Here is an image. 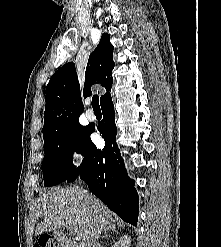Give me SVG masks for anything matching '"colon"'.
<instances>
[{"label": "colon", "instance_id": "5ec220e1", "mask_svg": "<svg viewBox=\"0 0 221 247\" xmlns=\"http://www.w3.org/2000/svg\"><path fill=\"white\" fill-rule=\"evenodd\" d=\"M35 247H60L57 243L53 242L50 238H46L43 241L35 245Z\"/></svg>", "mask_w": 221, "mask_h": 247}]
</instances>
